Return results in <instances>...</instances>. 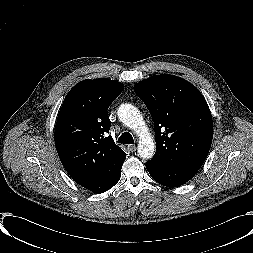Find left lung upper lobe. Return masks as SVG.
<instances>
[{
	"instance_id": "left-lung-upper-lobe-1",
	"label": "left lung upper lobe",
	"mask_w": 253,
	"mask_h": 253,
	"mask_svg": "<svg viewBox=\"0 0 253 253\" xmlns=\"http://www.w3.org/2000/svg\"><path fill=\"white\" fill-rule=\"evenodd\" d=\"M155 127L156 153L149 163L199 169L213 138L208 104L190 82L169 74L154 75L134 86Z\"/></svg>"
}]
</instances>
